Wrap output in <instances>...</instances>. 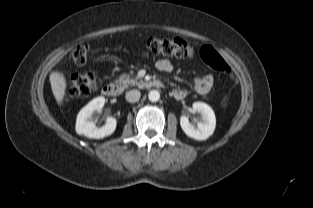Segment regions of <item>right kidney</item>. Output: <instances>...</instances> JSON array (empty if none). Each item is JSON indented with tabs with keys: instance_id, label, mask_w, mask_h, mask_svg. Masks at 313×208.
I'll return each instance as SVG.
<instances>
[{
	"instance_id": "right-kidney-1",
	"label": "right kidney",
	"mask_w": 313,
	"mask_h": 208,
	"mask_svg": "<svg viewBox=\"0 0 313 208\" xmlns=\"http://www.w3.org/2000/svg\"><path fill=\"white\" fill-rule=\"evenodd\" d=\"M105 104L104 97H97L83 107L77 115L76 133L88 138L101 139L114 133L117 121L113 117L106 119L105 125L97 127L92 120V114L96 110H102Z\"/></svg>"
}]
</instances>
